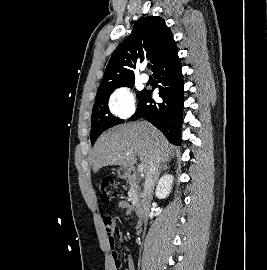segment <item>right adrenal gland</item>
Here are the masks:
<instances>
[{
	"label": "right adrenal gland",
	"instance_id": "right-adrenal-gland-1",
	"mask_svg": "<svg viewBox=\"0 0 267 270\" xmlns=\"http://www.w3.org/2000/svg\"><path fill=\"white\" fill-rule=\"evenodd\" d=\"M170 167H169V165H168V163L165 161V162H162L161 163V166H160V168H159V175H160V173L162 172V171H164V170H167V169H169Z\"/></svg>",
	"mask_w": 267,
	"mask_h": 270
}]
</instances>
